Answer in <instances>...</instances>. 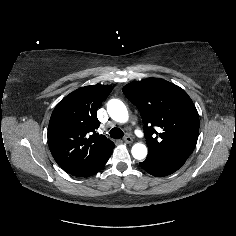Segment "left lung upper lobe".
I'll return each mask as SVG.
<instances>
[{
    "instance_id": "left-lung-upper-lobe-1",
    "label": "left lung upper lobe",
    "mask_w": 236,
    "mask_h": 236,
    "mask_svg": "<svg viewBox=\"0 0 236 236\" xmlns=\"http://www.w3.org/2000/svg\"><path fill=\"white\" fill-rule=\"evenodd\" d=\"M123 93L140 111L148 156L186 161L199 133V115L189 95L160 78L131 82Z\"/></svg>"
}]
</instances>
